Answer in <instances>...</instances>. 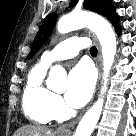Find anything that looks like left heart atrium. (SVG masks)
Wrapping results in <instances>:
<instances>
[{"label":"left heart atrium","mask_w":136,"mask_h":136,"mask_svg":"<svg viewBox=\"0 0 136 136\" xmlns=\"http://www.w3.org/2000/svg\"><path fill=\"white\" fill-rule=\"evenodd\" d=\"M95 78L92 66L85 62L77 64L70 71L65 99L71 107L80 108L88 102L94 90Z\"/></svg>","instance_id":"left-heart-atrium-1"}]
</instances>
